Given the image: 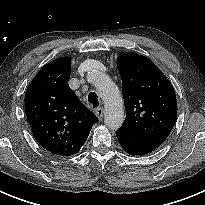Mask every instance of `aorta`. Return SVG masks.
Returning a JSON list of instances; mask_svg holds the SVG:
<instances>
[{
	"mask_svg": "<svg viewBox=\"0 0 205 205\" xmlns=\"http://www.w3.org/2000/svg\"><path fill=\"white\" fill-rule=\"evenodd\" d=\"M95 77V86L105 106L104 121L107 127L118 129L122 126L125 115L121 94L113 81L100 72L91 73Z\"/></svg>",
	"mask_w": 205,
	"mask_h": 205,
	"instance_id": "1",
	"label": "aorta"
}]
</instances>
